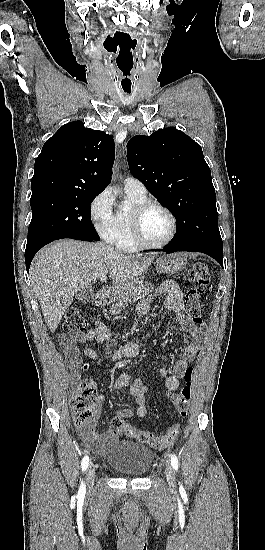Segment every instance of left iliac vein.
<instances>
[{"label": "left iliac vein", "mask_w": 265, "mask_h": 550, "mask_svg": "<svg viewBox=\"0 0 265 550\" xmlns=\"http://www.w3.org/2000/svg\"><path fill=\"white\" fill-rule=\"evenodd\" d=\"M166 478L170 486H175V473L171 465H167L165 470Z\"/></svg>", "instance_id": "1"}]
</instances>
